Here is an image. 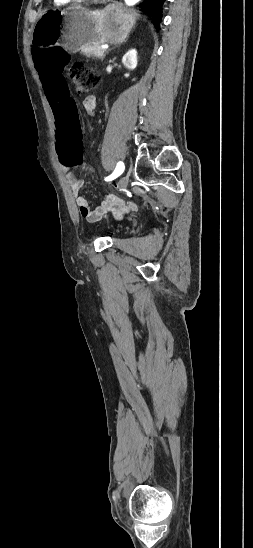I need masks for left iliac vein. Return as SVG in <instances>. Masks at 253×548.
<instances>
[{"label": "left iliac vein", "instance_id": "4c4485c4", "mask_svg": "<svg viewBox=\"0 0 253 548\" xmlns=\"http://www.w3.org/2000/svg\"><path fill=\"white\" fill-rule=\"evenodd\" d=\"M129 178L127 176H123L119 182L118 186L122 189L126 188L128 186Z\"/></svg>", "mask_w": 253, "mask_h": 548}]
</instances>
